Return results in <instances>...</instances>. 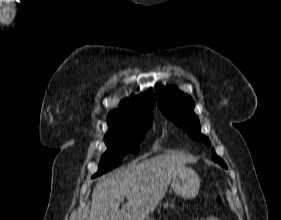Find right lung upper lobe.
I'll return each instance as SVG.
<instances>
[{"mask_svg":"<svg viewBox=\"0 0 281 220\" xmlns=\"http://www.w3.org/2000/svg\"><path fill=\"white\" fill-rule=\"evenodd\" d=\"M154 106L155 97L152 90L147 94L132 95L121 102L118 110L108 114L109 127H117L127 122L152 116L151 111Z\"/></svg>","mask_w":281,"mask_h":220,"instance_id":"obj_1","label":"right lung upper lobe"}]
</instances>
